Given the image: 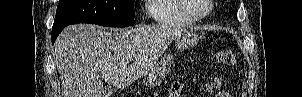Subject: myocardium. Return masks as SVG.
<instances>
[{"label": "myocardium", "mask_w": 302, "mask_h": 97, "mask_svg": "<svg viewBox=\"0 0 302 97\" xmlns=\"http://www.w3.org/2000/svg\"><path fill=\"white\" fill-rule=\"evenodd\" d=\"M184 1L185 0H177L179 10L181 11V13L185 17H187V18H189V19H191L193 21H200V20L206 18L212 12V9H213V0H206L207 11L204 14H202V15H195V14L189 12L188 9L186 8V5H185Z\"/></svg>", "instance_id": "1"}]
</instances>
